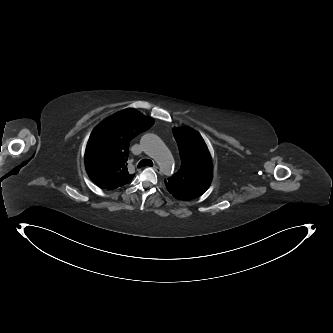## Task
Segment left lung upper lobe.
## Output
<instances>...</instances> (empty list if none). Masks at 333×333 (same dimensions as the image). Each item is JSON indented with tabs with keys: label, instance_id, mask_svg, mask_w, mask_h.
Returning <instances> with one entry per match:
<instances>
[{
	"label": "left lung upper lobe",
	"instance_id": "1",
	"mask_svg": "<svg viewBox=\"0 0 333 333\" xmlns=\"http://www.w3.org/2000/svg\"><path fill=\"white\" fill-rule=\"evenodd\" d=\"M181 167L165 180L167 191L179 200L200 197L208 189L212 176V162L203 138L190 128H175Z\"/></svg>",
	"mask_w": 333,
	"mask_h": 333
}]
</instances>
